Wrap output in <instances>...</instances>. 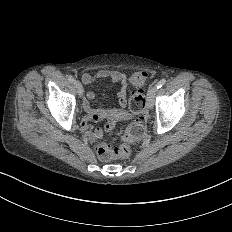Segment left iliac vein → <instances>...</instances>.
Returning <instances> with one entry per match:
<instances>
[{"mask_svg":"<svg viewBox=\"0 0 232 232\" xmlns=\"http://www.w3.org/2000/svg\"><path fill=\"white\" fill-rule=\"evenodd\" d=\"M157 87L154 86L153 89H150L147 96V109L149 111H152L154 109V106L152 105L154 103V97L156 93Z\"/></svg>","mask_w":232,"mask_h":232,"instance_id":"obj_1","label":"left iliac vein"}]
</instances>
